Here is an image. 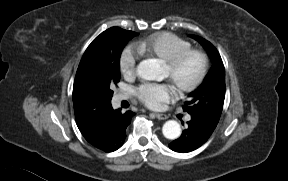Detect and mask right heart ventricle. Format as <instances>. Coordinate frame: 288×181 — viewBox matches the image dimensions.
<instances>
[{"mask_svg": "<svg viewBox=\"0 0 288 181\" xmlns=\"http://www.w3.org/2000/svg\"><path fill=\"white\" fill-rule=\"evenodd\" d=\"M139 52L166 62L178 53L191 48V43L173 33L154 34L138 45Z\"/></svg>", "mask_w": 288, "mask_h": 181, "instance_id": "1", "label": "right heart ventricle"}]
</instances>
